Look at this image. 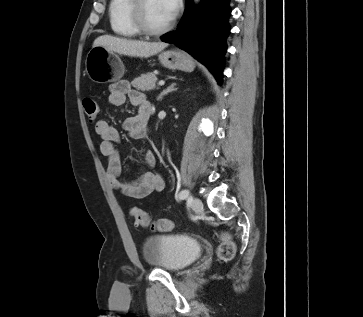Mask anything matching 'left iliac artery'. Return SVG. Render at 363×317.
I'll return each instance as SVG.
<instances>
[{
  "instance_id": "44dca946",
  "label": "left iliac artery",
  "mask_w": 363,
  "mask_h": 317,
  "mask_svg": "<svg viewBox=\"0 0 363 317\" xmlns=\"http://www.w3.org/2000/svg\"><path fill=\"white\" fill-rule=\"evenodd\" d=\"M189 196V191L184 189L182 190L179 195H178V199L179 200H183V199H186L187 197Z\"/></svg>"
}]
</instances>
